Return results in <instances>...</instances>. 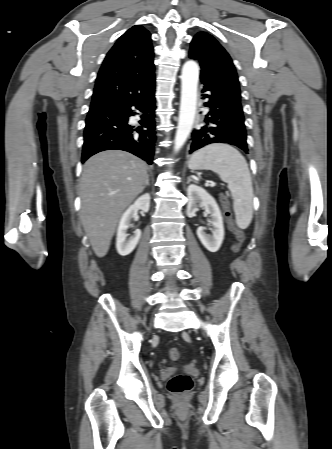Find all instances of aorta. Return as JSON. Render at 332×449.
Instances as JSON below:
<instances>
[{
	"mask_svg": "<svg viewBox=\"0 0 332 449\" xmlns=\"http://www.w3.org/2000/svg\"><path fill=\"white\" fill-rule=\"evenodd\" d=\"M199 66L195 61H187L181 74V102L179 121L174 140V151L178 152L186 142L193 127L197 105Z\"/></svg>",
	"mask_w": 332,
	"mask_h": 449,
	"instance_id": "762f6f07",
	"label": "aorta"
}]
</instances>
